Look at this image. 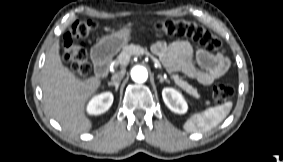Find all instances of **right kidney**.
<instances>
[{
	"mask_svg": "<svg viewBox=\"0 0 283 162\" xmlns=\"http://www.w3.org/2000/svg\"><path fill=\"white\" fill-rule=\"evenodd\" d=\"M113 103V95L110 92L101 93L93 97L87 106V112L92 115H99L106 112Z\"/></svg>",
	"mask_w": 283,
	"mask_h": 162,
	"instance_id": "obj_1",
	"label": "right kidney"
}]
</instances>
